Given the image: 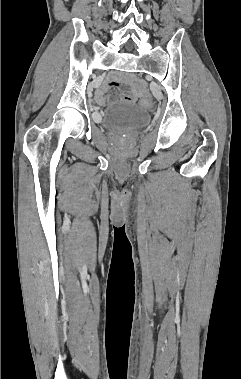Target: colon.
Wrapping results in <instances>:
<instances>
[{"instance_id":"5ec220e1","label":"colon","mask_w":241,"mask_h":379,"mask_svg":"<svg viewBox=\"0 0 241 379\" xmlns=\"http://www.w3.org/2000/svg\"><path fill=\"white\" fill-rule=\"evenodd\" d=\"M150 91L149 90H143L141 93V104L143 108H148L150 106Z\"/></svg>"}]
</instances>
